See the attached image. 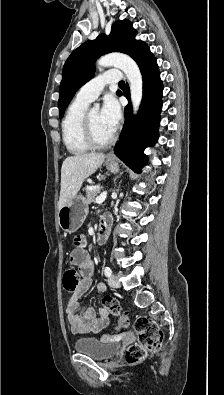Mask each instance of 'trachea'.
Wrapping results in <instances>:
<instances>
[{"instance_id": "1", "label": "trachea", "mask_w": 224, "mask_h": 395, "mask_svg": "<svg viewBox=\"0 0 224 395\" xmlns=\"http://www.w3.org/2000/svg\"><path fill=\"white\" fill-rule=\"evenodd\" d=\"M119 85H120V86H124V85H125V82H124V81H120V82H119Z\"/></svg>"}]
</instances>
